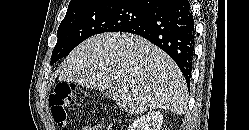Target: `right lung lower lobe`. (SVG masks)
<instances>
[{
	"label": "right lung lower lobe",
	"mask_w": 249,
	"mask_h": 130,
	"mask_svg": "<svg viewBox=\"0 0 249 130\" xmlns=\"http://www.w3.org/2000/svg\"><path fill=\"white\" fill-rule=\"evenodd\" d=\"M121 32L140 35L165 51L190 82L195 45L193 13L187 0H174L150 18Z\"/></svg>",
	"instance_id": "right-lung-lower-lobe-1"
}]
</instances>
